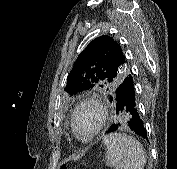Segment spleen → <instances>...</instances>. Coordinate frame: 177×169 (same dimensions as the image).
Returning <instances> with one entry per match:
<instances>
[{"instance_id": "3e777b00", "label": "spleen", "mask_w": 177, "mask_h": 169, "mask_svg": "<svg viewBox=\"0 0 177 169\" xmlns=\"http://www.w3.org/2000/svg\"><path fill=\"white\" fill-rule=\"evenodd\" d=\"M102 143L107 149V166H113L115 169H144L145 151L133 136L111 133L103 137Z\"/></svg>"}]
</instances>
